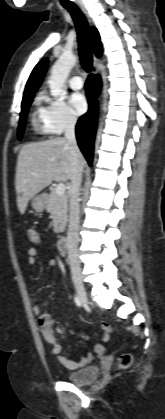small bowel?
I'll return each instance as SVG.
<instances>
[{"label":"small bowel","mask_w":165,"mask_h":419,"mask_svg":"<svg viewBox=\"0 0 165 419\" xmlns=\"http://www.w3.org/2000/svg\"><path fill=\"white\" fill-rule=\"evenodd\" d=\"M40 241V238L38 242ZM36 242V243H38ZM38 257V250L36 247H31L28 250V264L30 266H34L37 263ZM49 265L56 266L57 261L54 259L49 260ZM33 311L38 317V322L41 325L42 329V337L43 340L52 346V352L58 357L59 362L68 369H78L81 367L86 366L87 364L91 363L95 357V354L102 351L104 348V343L107 340V337L103 338V341L97 343L94 347L92 352H88L85 356L77 359V360H70L61 356L62 352V345L59 344L56 338L53 335L51 327L57 323L56 320L52 319L51 316L47 313L42 312V309L39 305H33ZM76 336L80 339L87 340L89 339V334L84 331H79L75 333Z\"/></svg>","instance_id":"obj_1"}]
</instances>
